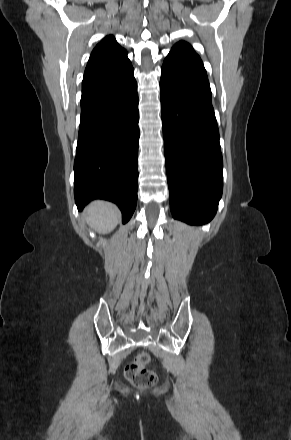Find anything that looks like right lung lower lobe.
<instances>
[{
    "label": "right lung lower lobe",
    "mask_w": 291,
    "mask_h": 440,
    "mask_svg": "<svg viewBox=\"0 0 291 440\" xmlns=\"http://www.w3.org/2000/svg\"><path fill=\"white\" fill-rule=\"evenodd\" d=\"M137 83L132 66L82 81L81 119L74 161L78 210L100 198L118 205L126 223L137 203Z\"/></svg>",
    "instance_id": "right-lung-lower-lobe-1"
}]
</instances>
